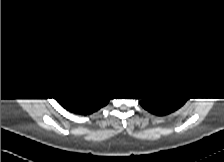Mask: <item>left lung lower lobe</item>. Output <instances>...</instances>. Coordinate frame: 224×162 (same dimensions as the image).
Listing matches in <instances>:
<instances>
[{
	"mask_svg": "<svg viewBox=\"0 0 224 162\" xmlns=\"http://www.w3.org/2000/svg\"><path fill=\"white\" fill-rule=\"evenodd\" d=\"M148 100L141 101L140 104L149 112L162 116L179 109L189 98V95L181 90H162Z\"/></svg>",
	"mask_w": 224,
	"mask_h": 162,
	"instance_id": "left-lung-lower-lobe-1",
	"label": "left lung lower lobe"
}]
</instances>
